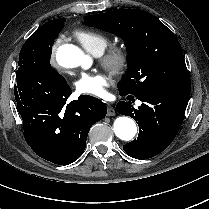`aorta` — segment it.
<instances>
[{
	"mask_svg": "<svg viewBox=\"0 0 209 209\" xmlns=\"http://www.w3.org/2000/svg\"><path fill=\"white\" fill-rule=\"evenodd\" d=\"M56 60L62 67L76 68L82 66L88 69L91 65V58L83 53V51L75 45L65 44L58 48ZM115 135L124 141H130L137 133L135 121L127 116L118 117L113 124Z\"/></svg>",
	"mask_w": 209,
	"mask_h": 209,
	"instance_id": "aorta-1",
	"label": "aorta"
}]
</instances>
